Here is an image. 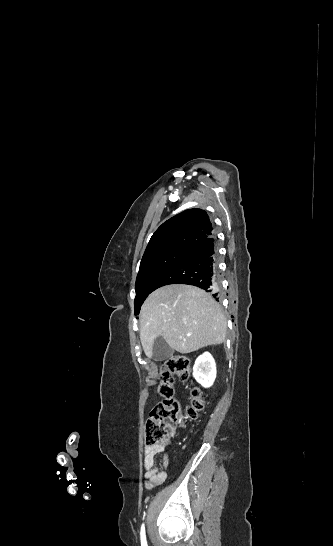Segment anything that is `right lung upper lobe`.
I'll return each instance as SVG.
<instances>
[{
    "label": "right lung upper lobe",
    "instance_id": "obj_1",
    "mask_svg": "<svg viewBox=\"0 0 333 546\" xmlns=\"http://www.w3.org/2000/svg\"><path fill=\"white\" fill-rule=\"evenodd\" d=\"M214 233L206 211L185 210L164 222L152 235L143 258L172 247L192 248Z\"/></svg>",
    "mask_w": 333,
    "mask_h": 546
}]
</instances>
